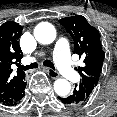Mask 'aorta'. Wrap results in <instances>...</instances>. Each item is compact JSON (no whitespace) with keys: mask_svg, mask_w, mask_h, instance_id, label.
Masks as SVG:
<instances>
[{"mask_svg":"<svg viewBox=\"0 0 117 117\" xmlns=\"http://www.w3.org/2000/svg\"><path fill=\"white\" fill-rule=\"evenodd\" d=\"M34 36L41 44H51L56 38V29L51 23L42 22L35 27ZM54 90L57 95L64 97L70 93L71 85L66 79H57Z\"/></svg>","mask_w":117,"mask_h":117,"instance_id":"1","label":"aorta"}]
</instances>
